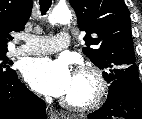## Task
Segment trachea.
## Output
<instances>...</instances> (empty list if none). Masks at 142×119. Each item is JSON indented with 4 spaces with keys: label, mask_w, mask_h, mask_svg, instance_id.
<instances>
[{
    "label": "trachea",
    "mask_w": 142,
    "mask_h": 119,
    "mask_svg": "<svg viewBox=\"0 0 142 119\" xmlns=\"http://www.w3.org/2000/svg\"><path fill=\"white\" fill-rule=\"evenodd\" d=\"M39 4L42 15H45L52 4V0H40Z\"/></svg>",
    "instance_id": "1"
}]
</instances>
